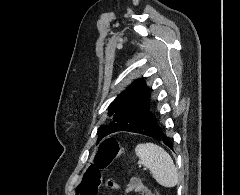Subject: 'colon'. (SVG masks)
<instances>
[{"label": "colon", "mask_w": 240, "mask_h": 195, "mask_svg": "<svg viewBox=\"0 0 240 195\" xmlns=\"http://www.w3.org/2000/svg\"><path fill=\"white\" fill-rule=\"evenodd\" d=\"M120 144L115 138L104 139L96 151L95 167L89 166L83 181L84 186H78L76 195H97L104 179L100 170L108 167L120 154Z\"/></svg>", "instance_id": "colon-1"}]
</instances>
